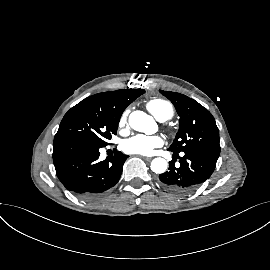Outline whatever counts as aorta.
Wrapping results in <instances>:
<instances>
[{
	"mask_svg": "<svg viewBox=\"0 0 270 270\" xmlns=\"http://www.w3.org/2000/svg\"><path fill=\"white\" fill-rule=\"evenodd\" d=\"M130 126L139 132L153 134L157 130V124L153 118L142 111H134L129 116ZM151 170L155 173H164L167 169V161L164 158H154L151 162Z\"/></svg>",
	"mask_w": 270,
	"mask_h": 270,
	"instance_id": "obj_1",
	"label": "aorta"
}]
</instances>
